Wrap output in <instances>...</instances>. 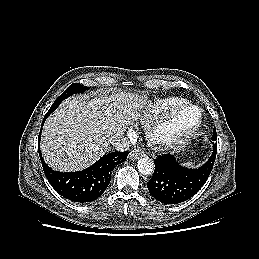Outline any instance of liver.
<instances>
[{
    "label": "liver",
    "instance_id": "1",
    "mask_svg": "<svg viewBox=\"0 0 259 259\" xmlns=\"http://www.w3.org/2000/svg\"><path fill=\"white\" fill-rule=\"evenodd\" d=\"M144 104L139 95L125 92L66 99L43 127L41 151L46 163L64 172L92 165L138 119Z\"/></svg>",
    "mask_w": 259,
    "mask_h": 259
}]
</instances>
